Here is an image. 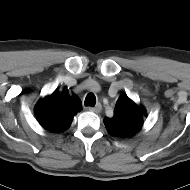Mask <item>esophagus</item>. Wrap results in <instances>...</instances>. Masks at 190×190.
Wrapping results in <instances>:
<instances>
[{
  "label": "esophagus",
  "instance_id": "esophagus-1",
  "mask_svg": "<svg viewBox=\"0 0 190 190\" xmlns=\"http://www.w3.org/2000/svg\"><path fill=\"white\" fill-rule=\"evenodd\" d=\"M88 110L91 112L99 113L102 110V105L98 103L95 107H88Z\"/></svg>",
  "mask_w": 190,
  "mask_h": 190
}]
</instances>
